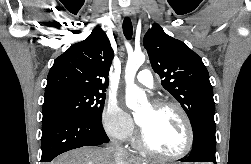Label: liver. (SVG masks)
<instances>
[{"label": "liver", "mask_w": 251, "mask_h": 164, "mask_svg": "<svg viewBox=\"0 0 251 164\" xmlns=\"http://www.w3.org/2000/svg\"><path fill=\"white\" fill-rule=\"evenodd\" d=\"M51 164H147V162L128 154L117 160L112 148L82 147L60 155Z\"/></svg>", "instance_id": "1"}]
</instances>
